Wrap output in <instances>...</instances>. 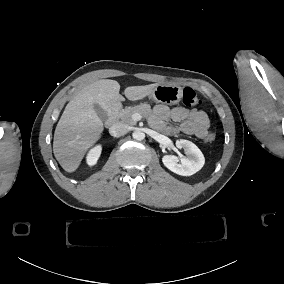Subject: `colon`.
Returning a JSON list of instances; mask_svg holds the SVG:
<instances>
[{"mask_svg": "<svg viewBox=\"0 0 284 284\" xmlns=\"http://www.w3.org/2000/svg\"><path fill=\"white\" fill-rule=\"evenodd\" d=\"M195 92L190 89V88H186L182 91V96H183V103L186 105V106H192V105H200L202 104V99L200 98H196L195 96ZM216 139V136L214 133H209L207 136H206V142L208 143H212L214 142Z\"/></svg>", "mask_w": 284, "mask_h": 284, "instance_id": "5ec220e1", "label": "colon"}]
</instances>
